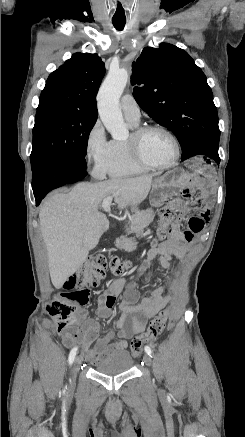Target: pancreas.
Instances as JSON below:
<instances>
[{
  "label": "pancreas",
  "instance_id": "obj_1",
  "mask_svg": "<svg viewBox=\"0 0 245 437\" xmlns=\"http://www.w3.org/2000/svg\"><path fill=\"white\" fill-rule=\"evenodd\" d=\"M154 219L153 210L135 211V214L129 218L128 226H126L127 234L135 233L137 237H141L143 230ZM116 246L125 250H132L136 246L134 238L120 237L116 240Z\"/></svg>",
  "mask_w": 245,
  "mask_h": 437
}]
</instances>
